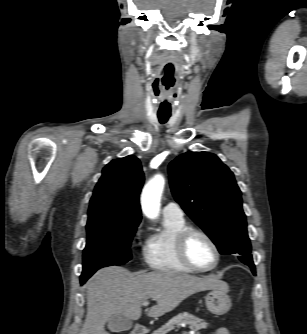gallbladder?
Wrapping results in <instances>:
<instances>
[{
    "mask_svg": "<svg viewBox=\"0 0 307 334\" xmlns=\"http://www.w3.org/2000/svg\"><path fill=\"white\" fill-rule=\"evenodd\" d=\"M107 326L111 332L119 333L130 330L132 321L122 314H114L108 319Z\"/></svg>",
    "mask_w": 307,
    "mask_h": 334,
    "instance_id": "gallbladder-1",
    "label": "gallbladder"
}]
</instances>
